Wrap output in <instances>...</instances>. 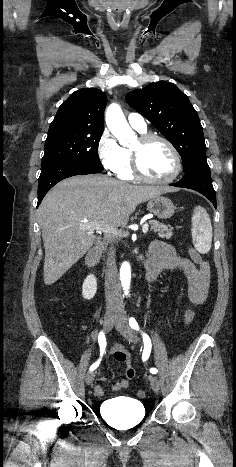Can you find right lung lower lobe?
<instances>
[{
  "instance_id": "right-lung-lower-lobe-1",
  "label": "right lung lower lobe",
  "mask_w": 236,
  "mask_h": 467,
  "mask_svg": "<svg viewBox=\"0 0 236 467\" xmlns=\"http://www.w3.org/2000/svg\"><path fill=\"white\" fill-rule=\"evenodd\" d=\"M102 170L76 161H58L41 168L38 180V205L46 193L59 181L75 176L100 173Z\"/></svg>"
}]
</instances>
